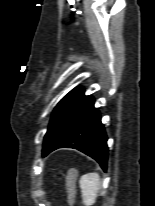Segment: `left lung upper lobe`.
<instances>
[{
    "label": "left lung upper lobe",
    "instance_id": "1",
    "mask_svg": "<svg viewBox=\"0 0 155 206\" xmlns=\"http://www.w3.org/2000/svg\"><path fill=\"white\" fill-rule=\"evenodd\" d=\"M93 105L94 98L85 96L82 87H76L70 91L53 111L44 138L43 151L67 133Z\"/></svg>",
    "mask_w": 155,
    "mask_h": 206
}]
</instances>
